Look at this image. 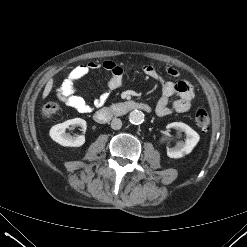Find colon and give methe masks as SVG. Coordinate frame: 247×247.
<instances>
[{
    "label": "colon",
    "mask_w": 247,
    "mask_h": 247,
    "mask_svg": "<svg viewBox=\"0 0 247 247\" xmlns=\"http://www.w3.org/2000/svg\"><path fill=\"white\" fill-rule=\"evenodd\" d=\"M59 110L60 107L56 102L48 101L42 108V114L45 118L50 119L54 117L59 112ZM194 121L200 130L205 131L210 125V116L206 110L199 109L195 112Z\"/></svg>",
    "instance_id": "obj_1"
}]
</instances>
